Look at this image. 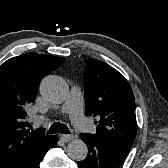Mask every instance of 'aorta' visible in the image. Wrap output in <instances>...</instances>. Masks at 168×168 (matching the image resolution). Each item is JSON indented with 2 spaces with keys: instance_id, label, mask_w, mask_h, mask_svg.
Masks as SVG:
<instances>
[{
  "instance_id": "762f6f07",
  "label": "aorta",
  "mask_w": 168,
  "mask_h": 168,
  "mask_svg": "<svg viewBox=\"0 0 168 168\" xmlns=\"http://www.w3.org/2000/svg\"><path fill=\"white\" fill-rule=\"evenodd\" d=\"M40 94L49 103L60 104L68 95V86L59 76H46L40 84ZM87 145L81 140H73L67 146V155L75 160L82 161L87 157Z\"/></svg>"
}]
</instances>
